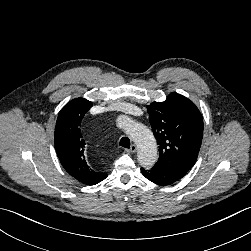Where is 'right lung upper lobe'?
<instances>
[{
	"label": "right lung upper lobe",
	"mask_w": 251,
	"mask_h": 251,
	"mask_svg": "<svg viewBox=\"0 0 251 251\" xmlns=\"http://www.w3.org/2000/svg\"><path fill=\"white\" fill-rule=\"evenodd\" d=\"M92 103L76 98L60 111L55 126V149L64 169L79 182L95 185L107 177L106 173L93 170L87 163L81 121Z\"/></svg>",
	"instance_id": "obj_1"
}]
</instances>
